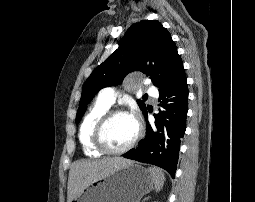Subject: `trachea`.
<instances>
[{"label": "trachea", "instance_id": "trachea-1", "mask_svg": "<svg viewBox=\"0 0 255 202\" xmlns=\"http://www.w3.org/2000/svg\"><path fill=\"white\" fill-rule=\"evenodd\" d=\"M144 98H147V95H144Z\"/></svg>", "mask_w": 255, "mask_h": 202}]
</instances>
